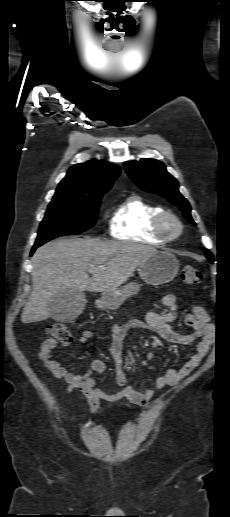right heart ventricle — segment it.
Masks as SVG:
<instances>
[{
	"instance_id": "obj_1",
	"label": "right heart ventricle",
	"mask_w": 230,
	"mask_h": 517,
	"mask_svg": "<svg viewBox=\"0 0 230 517\" xmlns=\"http://www.w3.org/2000/svg\"><path fill=\"white\" fill-rule=\"evenodd\" d=\"M164 210L144 197L132 194L122 200L110 220V234L119 240L164 244L154 230V220Z\"/></svg>"
}]
</instances>
